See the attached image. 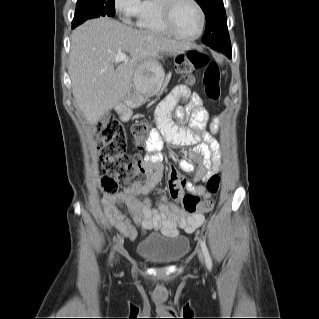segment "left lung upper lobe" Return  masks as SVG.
Returning a JSON list of instances; mask_svg holds the SVG:
<instances>
[{
  "instance_id": "1",
  "label": "left lung upper lobe",
  "mask_w": 319,
  "mask_h": 319,
  "mask_svg": "<svg viewBox=\"0 0 319 319\" xmlns=\"http://www.w3.org/2000/svg\"><path fill=\"white\" fill-rule=\"evenodd\" d=\"M206 16V29L202 42L210 48L222 52L230 47L227 18L223 0H195Z\"/></svg>"
}]
</instances>
